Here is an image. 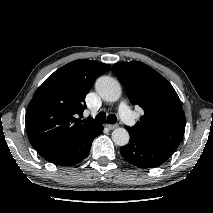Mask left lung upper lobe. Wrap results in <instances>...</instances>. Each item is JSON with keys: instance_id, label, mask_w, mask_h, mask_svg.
<instances>
[{"instance_id": "5c2ea615", "label": "left lung upper lobe", "mask_w": 213, "mask_h": 213, "mask_svg": "<svg viewBox=\"0 0 213 213\" xmlns=\"http://www.w3.org/2000/svg\"><path fill=\"white\" fill-rule=\"evenodd\" d=\"M114 70L134 105L144 115L125 128L143 141L175 151L185 131V114L172 85L157 71L140 61L115 63Z\"/></svg>"}]
</instances>
